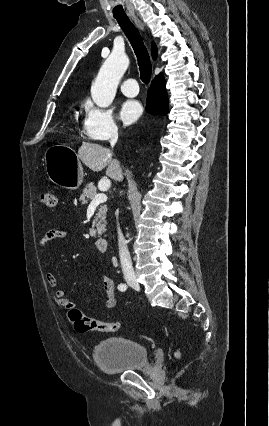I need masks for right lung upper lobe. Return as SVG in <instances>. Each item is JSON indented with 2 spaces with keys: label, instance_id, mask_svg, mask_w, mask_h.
<instances>
[{
  "label": "right lung upper lobe",
  "instance_id": "cb5924a9",
  "mask_svg": "<svg viewBox=\"0 0 269 426\" xmlns=\"http://www.w3.org/2000/svg\"><path fill=\"white\" fill-rule=\"evenodd\" d=\"M151 54L153 59L155 60L157 57V47L154 43H152V46H151Z\"/></svg>",
  "mask_w": 269,
  "mask_h": 426
}]
</instances>
